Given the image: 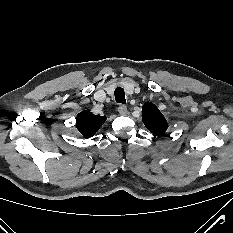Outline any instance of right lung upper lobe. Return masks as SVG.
I'll list each match as a JSON object with an SVG mask.
<instances>
[{"label":"right lung upper lobe","instance_id":"1","mask_svg":"<svg viewBox=\"0 0 233 233\" xmlns=\"http://www.w3.org/2000/svg\"><path fill=\"white\" fill-rule=\"evenodd\" d=\"M105 121L106 116L94 115L87 109L77 115L76 127L84 137L89 138L96 134Z\"/></svg>","mask_w":233,"mask_h":233}]
</instances>
